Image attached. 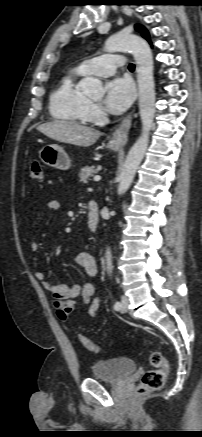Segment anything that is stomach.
Wrapping results in <instances>:
<instances>
[{
	"label": "stomach",
	"mask_w": 202,
	"mask_h": 437,
	"mask_svg": "<svg viewBox=\"0 0 202 437\" xmlns=\"http://www.w3.org/2000/svg\"><path fill=\"white\" fill-rule=\"evenodd\" d=\"M107 148L116 151L120 148V145L109 142ZM39 157L44 164L60 170H68L71 166V160L68 154L57 144L44 146L39 152Z\"/></svg>",
	"instance_id": "obj_1"
}]
</instances>
